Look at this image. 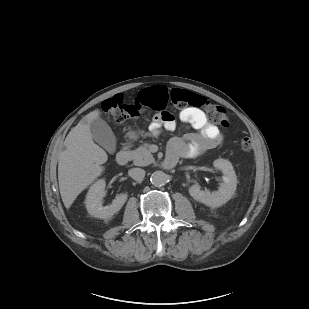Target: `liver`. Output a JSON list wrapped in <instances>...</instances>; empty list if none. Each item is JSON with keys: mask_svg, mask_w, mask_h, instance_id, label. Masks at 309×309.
<instances>
[{"mask_svg": "<svg viewBox=\"0 0 309 309\" xmlns=\"http://www.w3.org/2000/svg\"><path fill=\"white\" fill-rule=\"evenodd\" d=\"M98 109L87 114L67 135L65 150L59 154L58 182L64 206L71 207L77 196L103 172L107 153L94 143L90 122L98 119Z\"/></svg>", "mask_w": 309, "mask_h": 309, "instance_id": "6515ba94", "label": "liver"}]
</instances>
